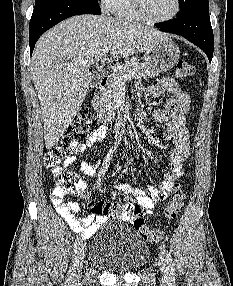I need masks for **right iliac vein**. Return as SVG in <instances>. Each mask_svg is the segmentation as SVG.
Here are the masks:
<instances>
[{
	"mask_svg": "<svg viewBox=\"0 0 233 286\" xmlns=\"http://www.w3.org/2000/svg\"><path fill=\"white\" fill-rule=\"evenodd\" d=\"M85 245L82 243L79 247V251L77 252V256L75 257V262L72 270V281L73 283L79 282L82 274V268L85 257Z\"/></svg>",
	"mask_w": 233,
	"mask_h": 286,
	"instance_id": "63e3f726",
	"label": "right iliac vein"
}]
</instances>
